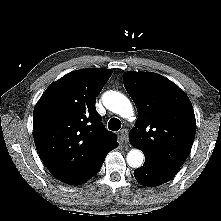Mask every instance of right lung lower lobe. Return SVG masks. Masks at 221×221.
Listing matches in <instances>:
<instances>
[{
    "mask_svg": "<svg viewBox=\"0 0 221 221\" xmlns=\"http://www.w3.org/2000/svg\"><path fill=\"white\" fill-rule=\"evenodd\" d=\"M107 154L101 156L90 168H88L79 177H77L72 182H70V184L71 185L82 184V183L86 182L87 180H89L91 177H93L95 174H97L99 172Z\"/></svg>",
    "mask_w": 221,
    "mask_h": 221,
    "instance_id": "obj_1",
    "label": "right lung lower lobe"
}]
</instances>
